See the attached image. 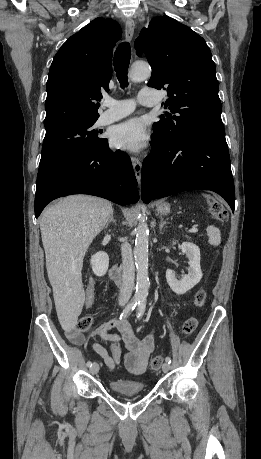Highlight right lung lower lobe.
Segmentation results:
<instances>
[{
	"label": "right lung lower lobe",
	"instance_id": "98d812e1",
	"mask_svg": "<svg viewBox=\"0 0 261 459\" xmlns=\"http://www.w3.org/2000/svg\"><path fill=\"white\" fill-rule=\"evenodd\" d=\"M71 194H90L117 204L136 203L137 181L129 156L109 149L108 140L92 152L75 154L38 171L35 217L52 200Z\"/></svg>",
	"mask_w": 261,
	"mask_h": 459
}]
</instances>
